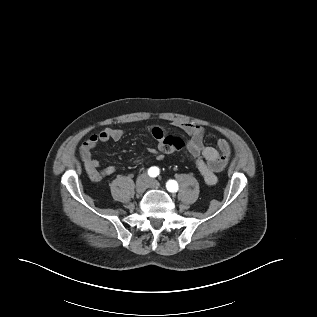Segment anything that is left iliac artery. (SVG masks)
Masks as SVG:
<instances>
[{"mask_svg": "<svg viewBox=\"0 0 317 317\" xmlns=\"http://www.w3.org/2000/svg\"><path fill=\"white\" fill-rule=\"evenodd\" d=\"M166 187L170 192H176L178 190V183L175 180H169L166 183Z\"/></svg>", "mask_w": 317, "mask_h": 317, "instance_id": "1", "label": "left iliac artery"}]
</instances>
